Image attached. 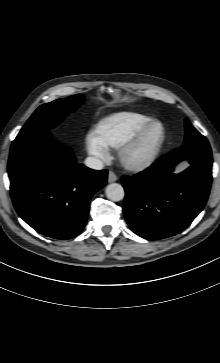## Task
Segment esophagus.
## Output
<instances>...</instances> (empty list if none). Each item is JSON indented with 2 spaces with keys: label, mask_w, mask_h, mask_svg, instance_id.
<instances>
[{
  "label": "esophagus",
  "mask_w": 220,
  "mask_h": 363,
  "mask_svg": "<svg viewBox=\"0 0 220 363\" xmlns=\"http://www.w3.org/2000/svg\"><path fill=\"white\" fill-rule=\"evenodd\" d=\"M117 180H118L117 175L114 172L109 171V173H108V182L113 183V182H115Z\"/></svg>",
  "instance_id": "obj_1"
}]
</instances>
